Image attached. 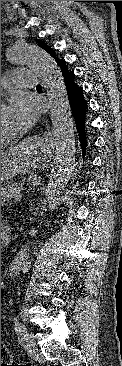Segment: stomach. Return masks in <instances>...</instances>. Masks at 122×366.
<instances>
[{
  "instance_id": "stomach-1",
  "label": "stomach",
  "mask_w": 122,
  "mask_h": 366,
  "mask_svg": "<svg viewBox=\"0 0 122 366\" xmlns=\"http://www.w3.org/2000/svg\"><path fill=\"white\" fill-rule=\"evenodd\" d=\"M27 146L33 149L37 147L33 141H30ZM27 146H24V148L17 152H7L6 158H1V183L19 172L23 160V154L26 152Z\"/></svg>"
}]
</instances>
